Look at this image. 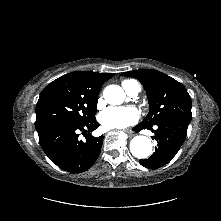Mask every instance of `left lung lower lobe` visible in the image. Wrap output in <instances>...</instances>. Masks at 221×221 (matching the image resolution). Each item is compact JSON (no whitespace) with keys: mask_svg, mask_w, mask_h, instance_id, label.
<instances>
[{"mask_svg":"<svg viewBox=\"0 0 221 221\" xmlns=\"http://www.w3.org/2000/svg\"><path fill=\"white\" fill-rule=\"evenodd\" d=\"M188 125L187 122L168 121L153 127L141 124L135 126L133 130L136 132L152 130L155 133L152 138L158 142L155 152L148 159L140 160V164L149 169H157L169 163L184 143Z\"/></svg>","mask_w":221,"mask_h":221,"instance_id":"left-lung-lower-lobe-1","label":"left lung lower lobe"}]
</instances>
